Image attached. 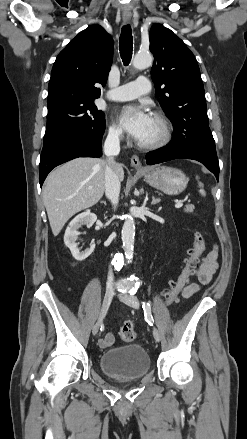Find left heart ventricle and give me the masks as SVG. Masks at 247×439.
I'll use <instances>...</instances> for the list:
<instances>
[{
	"label": "left heart ventricle",
	"mask_w": 247,
	"mask_h": 439,
	"mask_svg": "<svg viewBox=\"0 0 247 439\" xmlns=\"http://www.w3.org/2000/svg\"><path fill=\"white\" fill-rule=\"evenodd\" d=\"M161 135V128L158 122L152 117L149 129L145 136L140 140L144 143H149L157 140Z\"/></svg>",
	"instance_id": "b2bd125f"
}]
</instances>
